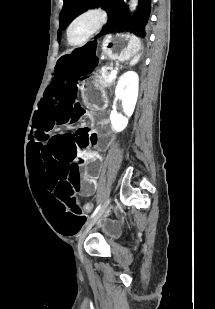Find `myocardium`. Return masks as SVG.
I'll return each mask as SVG.
<instances>
[{
	"mask_svg": "<svg viewBox=\"0 0 215 309\" xmlns=\"http://www.w3.org/2000/svg\"><path fill=\"white\" fill-rule=\"evenodd\" d=\"M103 16L96 11L85 12L76 17L66 30V41L70 46L80 47L100 28ZM106 23V22H105Z\"/></svg>",
	"mask_w": 215,
	"mask_h": 309,
	"instance_id": "1",
	"label": "myocardium"
}]
</instances>
